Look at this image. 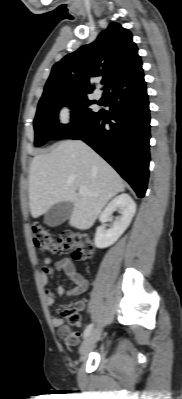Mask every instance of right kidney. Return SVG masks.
I'll return each mask as SVG.
<instances>
[{
    "mask_svg": "<svg viewBox=\"0 0 182 399\" xmlns=\"http://www.w3.org/2000/svg\"><path fill=\"white\" fill-rule=\"evenodd\" d=\"M116 209L120 211L121 217L115 221L113 227L105 230L104 227L99 226L96 229L94 243L97 248L109 247L119 239L128 228L135 215L136 204L128 194H120L112 199L100 214V222H107L109 216H111Z\"/></svg>",
    "mask_w": 182,
    "mask_h": 399,
    "instance_id": "obj_1",
    "label": "right kidney"
}]
</instances>
